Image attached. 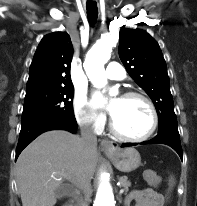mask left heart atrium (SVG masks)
<instances>
[{
    "mask_svg": "<svg viewBox=\"0 0 197 206\" xmlns=\"http://www.w3.org/2000/svg\"><path fill=\"white\" fill-rule=\"evenodd\" d=\"M95 100L97 103H101V96L99 94L95 95ZM110 112H112V107H109Z\"/></svg>",
    "mask_w": 197,
    "mask_h": 206,
    "instance_id": "obj_1",
    "label": "left heart atrium"
}]
</instances>
